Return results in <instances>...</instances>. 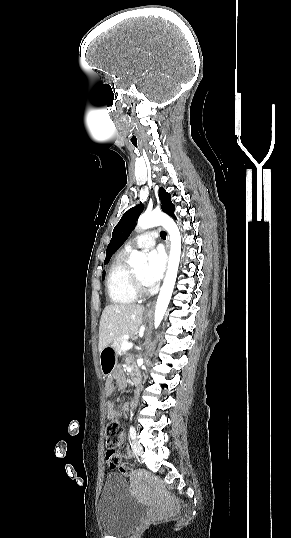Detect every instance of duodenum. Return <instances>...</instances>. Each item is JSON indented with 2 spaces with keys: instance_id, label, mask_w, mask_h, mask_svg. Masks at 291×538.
Here are the masks:
<instances>
[{
  "instance_id": "1",
  "label": "duodenum",
  "mask_w": 291,
  "mask_h": 538,
  "mask_svg": "<svg viewBox=\"0 0 291 538\" xmlns=\"http://www.w3.org/2000/svg\"><path fill=\"white\" fill-rule=\"evenodd\" d=\"M132 378H133V381L135 382L134 386L136 388L142 387V382H139L140 381L139 374L132 373Z\"/></svg>"
}]
</instances>
